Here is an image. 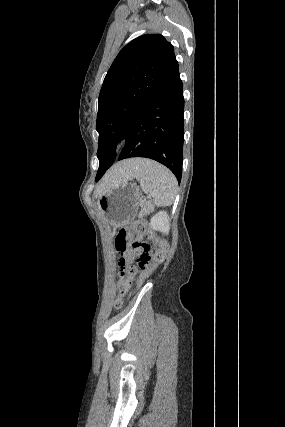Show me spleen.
I'll return each mask as SVG.
<instances>
[{"instance_id":"obj_1","label":"spleen","mask_w":285,"mask_h":427,"mask_svg":"<svg viewBox=\"0 0 285 427\" xmlns=\"http://www.w3.org/2000/svg\"><path fill=\"white\" fill-rule=\"evenodd\" d=\"M145 193L153 196L157 207L169 206L177 193V180L165 166L152 161L143 160L134 176Z\"/></svg>"}]
</instances>
